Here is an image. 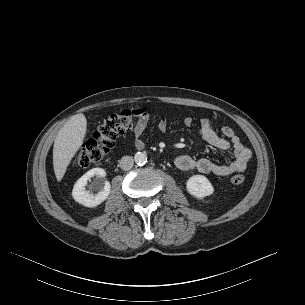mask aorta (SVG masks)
I'll return each instance as SVG.
<instances>
[{
	"label": "aorta",
	"instance_id": "762f6f07",
	"mask_svg": "<svg viewBox=\"0 0 305 305\" xmlns=\"http://www.w3.org/2000/svg\"><path fill=\"white\" fill-rule=\"evenodd\" d=\"M134 160L138 166H143L147 163V154L144 152H137L134 156Z\"/></svg>",
	"mask_w": 305,
	"mask_h": 305
}]
</instances>
